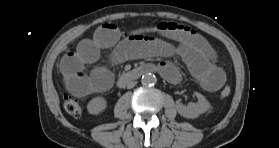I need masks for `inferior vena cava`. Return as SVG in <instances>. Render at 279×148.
Masks as SVG:
<instances>
[{"label":"inferior vena cava","instance_id":"1","mask_svg":"<svg viewBox=\"0 0 279 148\" xmlns=\"http://www.w3.org/2000/svg\"><path fill=\"white\" fill-rule=\"evenodd\" d=\"M136 84H137L136 81H131V82L128 83L127 88L128 89L133 88Z\"/></svg>","mask_w":279,"mask_h":148}]
</instances>
